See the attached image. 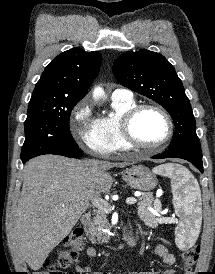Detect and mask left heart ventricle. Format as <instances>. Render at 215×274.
Instances as JSON below:
<instances>
[{
    "label": "left heart ventricle",
    "instance_id": "left-heart-ventricle-1",
    "mask_svg": "<svg viewBox=\"0 0 215 274\" xmlns=\"http://www.w3.org/2000/svg\"><path fill=\"white\" fill-rule=\"evenodd\" d=\"M167 123L157 111L147 109L140 112L133 123L135 137L144 144H155L167 134Z\"/></svg>",
    "mask_w": 215,
    "mask_h": 274
}]
</instances>
